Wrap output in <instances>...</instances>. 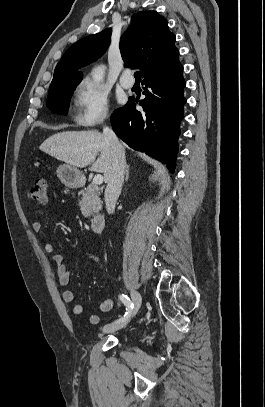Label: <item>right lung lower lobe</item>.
<instances>
[{"mask_svg":"<svg viewBox=\"0 0 265 407\" xmlns=\"http://www.w3.org/2000/svg\"><path fill=\"white\" fill-rule=\"evenodd\" d=\"M178 56L179 52L143 76L146 97L139 101L142 112L136 110L135 99L130 98L111 116L117 136L131 148L166 164L171 172L175 169L180 122L186 103L183 96L186 82Z\"/></svg>","mask_w":265,"mask_h":407,"instance_id":"right-lung-lower-lobe-1","label":"right lung lower lobe"}]
</instances>
